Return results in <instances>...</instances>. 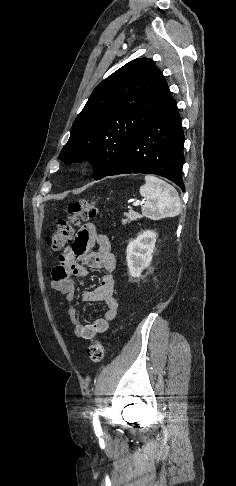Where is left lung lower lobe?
<instances>
[{
  "mask_svg": "<svg viewBox=\"0 0 236 486\" xmlns=\"http://www.w3.org/2000/svg\"><path fill=\"white\" fill-rule=\"evenodd\" d=\"M184 140L181 118L176 101L172 98L134 137L123 156L106 176L127 173L156 174L174 182L184 191Z\"/></svg>",
  "mask_w": 236,
  "mask_h": 486,
  "instance_id": "1",
  "label": "left lung lower lobe"
}]
</instances>
